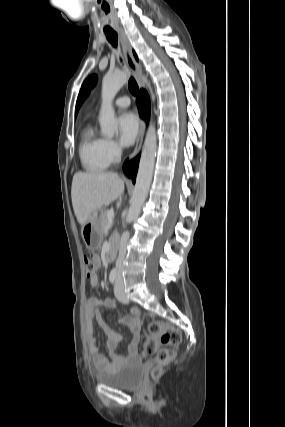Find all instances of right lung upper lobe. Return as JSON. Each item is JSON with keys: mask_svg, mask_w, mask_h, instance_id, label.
Segmentation results:
<instances>
[{"mask_svg": "<svg viewBox=\"0 0 285 427\" xmlns=\"http://www.w3.org/2000/svg\"><path fill=\"white\" fill-rule=\"evenodd\" d=\"M134 56H135V58L137 59V56H136L135 52H134Z\"/></svg>", "mask_w": 285, "mask_h": 427, "instance_id": "cb5924a9", "label": "right lung upper lobe"}]
</instances>
